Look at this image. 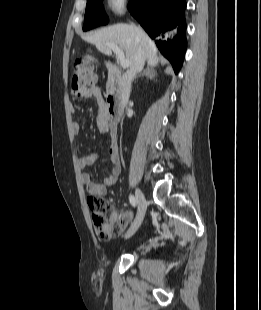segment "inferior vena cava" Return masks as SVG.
<instances>
[{"label":"inferior vena cava","instance_id":"obj_1","mask_svg":"<svg viewBox=\"0 0 261 310\" xmlns=\"http://www.w3.org/2000/svg\"><path fill=\"white\" fill-rule=\"evenodd\" d=\"M146 53L143 45L138 47L135 59L130 68L122 76V105L126 106L131 92V83L136 77V74L140 72L145 64Z\"/></svg>","mask_w":261,"mask_h":310}]
</instances>
